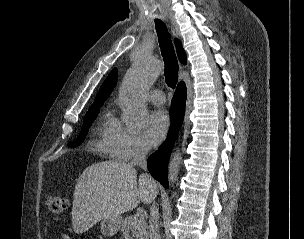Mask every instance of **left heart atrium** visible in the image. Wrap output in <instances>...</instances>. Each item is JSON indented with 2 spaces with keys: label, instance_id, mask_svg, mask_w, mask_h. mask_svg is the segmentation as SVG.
<instances>
[{
  "label": "left heart atrium",
  "instance_id": "obj_1",
  "mask_svg": "<svg viewBox=\"0 0 304 239\" xmlns=\"http://www.w3.org/2000/svg\"><path fill=\"white\" fill-rule=\"evenodd\" d=\"M169 127V118L164 110L154 111L146 125V141L149 146L158 145L164 138Z\"/></svg>",
  "mask_w": 304,
  "mask_h": 239
}]
</instances>
